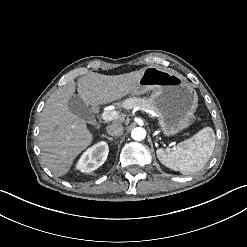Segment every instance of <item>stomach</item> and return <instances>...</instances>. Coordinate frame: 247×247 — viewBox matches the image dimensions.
Listing matches in <instances>:
<instances>
[{"label": "stomach", "mask_w": 247, "mask_h": 247, "mask_svg": "<svg viewBox=\"0 0 247 247\" xmlns=\"http://www.w3.org/2000/svg\"><path fill=\"white\" fill-rule=\"evenodd\" d=\"M148 93H151L154 112L160 115L166 134L177 133L190 124L189 119L198 105V95L184 76L174 70L147 66L129 95Z\"/></svg>", "instance_id": "1"}]
</instances>
